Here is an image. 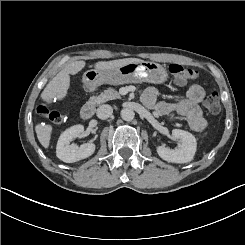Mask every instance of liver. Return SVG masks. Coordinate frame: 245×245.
<instances>
[{"mask_svg":"<svg viewBox=\"0 0 245 245\" xmlns=\"http://www.w3.org/2000/svg\"><path fill=\"white\" fill-rule=\"evenodd\" d=\"M143 60L138 58H125L113 61H100L95 64L98 70L115 69L128 63L141 62ZM85 66V61H75L68 64L61 70L45 87L41 93V98L46 102H51L54 98L63 99L70 85V74L75 75L81 71ZM35 131L39 142L44 148L49 147L52 126L51 125H36Z\"/></svg>","mask_w":245,"mask_h":245,"instance_id":"1","label":"liver"}]
</instances>
